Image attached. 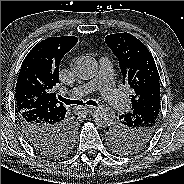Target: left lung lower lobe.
Masks as SVG:
<instances>
[{"label":"left lung lower lobe","mask_w":184,"mask_h":184,"mask_svg":"<svg viewBox=\"0 0 184 184\" xmlns=\"http://www.w3.org/2000/svg\"><path fill=\"white\" fill-rule=\"evenodd\" d=\"M160 107V99L159 98H155V99H152L151 101L145 103V105H142L141 108H139L138 110H136L137 114V118L139 116V118L146 114H148V112H155L156 110H158V108ZM151 110H155V111H151Z\"/></svg>","instance_id":"obj_1"}]
</instances>
